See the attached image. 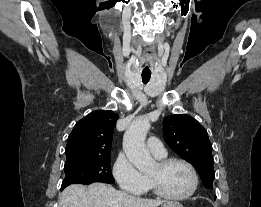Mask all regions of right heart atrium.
Instances as JSON below:
<instances>
[{"instance_id":"1","label":"right heart atrium","mask_w":261,"mask_h":207,"mask_svg":"<svg viewBox=\"0 0 261 207\" xmlns=\"http://www.w3.org/2000/svg\"><path fill=\"white\" fill-rule=\"evenodd\" d=\"M112 173L119 187L126 192L139 195L149 186L147 177L124 155L115 160Z\"/></svg>"}]
</instances>
